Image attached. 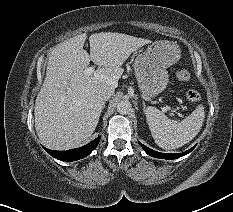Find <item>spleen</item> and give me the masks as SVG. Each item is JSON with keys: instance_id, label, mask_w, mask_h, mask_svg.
Returning a JSON list of instances; mask_svg holds the SVG:
<instances>
[{"instance_id": "spleen-1", "label": "spleen", "mask_w": 233, "mask_h": 212, "mask_svg": "<svg viewBox=\"0 0 233 212\" xmlns=\"http://www.w3.org/2000/svg\"><path fill=\"white\" fill-rule=\"evenodd\" d=\"M144 112L155 143L163 149H177L189 143L200 131L205 118L203 104L182 121L168 119L152 106Z\"/></svg>"}]
</instances>
